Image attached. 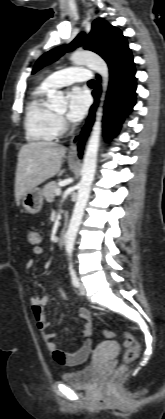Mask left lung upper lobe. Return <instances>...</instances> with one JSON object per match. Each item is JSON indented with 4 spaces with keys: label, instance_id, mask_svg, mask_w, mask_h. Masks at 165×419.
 <instances>
[{
    "label": "left lung upper lobe",
    "instance_id": "1",
    "mask_svg": "<svg viewBox=\"0 0 165 419\" xmlns=\"http://www.w3.org/2000/svg\"><path fill=\"white\" fill-rule=\"evenodd\" d=\"M84 44V49L99 54L110 67L129 49L122 32L103 19H96L88 36L79 34L69 45H63L43 54L36 62L32 73L57 60L66 51Z\"/></svg>",
    "mask_w": 165,
    "mask_h": 419
}]
</instances>
